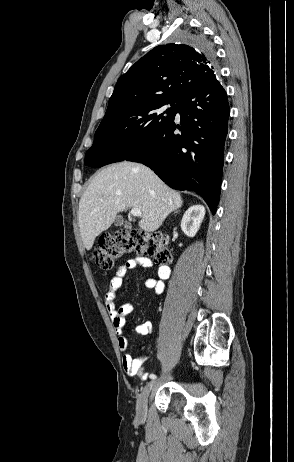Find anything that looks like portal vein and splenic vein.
Here are the masks:
<instances>
[{"mask_svg":"<svg viewBox=\"0 0 294 462\" xmlns=\"http://www.w3.org/2000/svg\"><path fill=\"white\" fill-rule=\"evenodd\" d=\"M130 213L133 217H140L142 215L141 210L137 208H132Z\"/></svg>","mask_w":294,"mask_h":462,"instance_id":"1","label":"portal vein and splenic vein"}]
</instances>
